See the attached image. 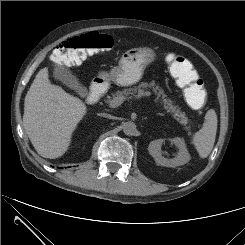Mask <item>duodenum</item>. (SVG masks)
<instances>
[{"label": "duodenum", "instance_id": "obj_1", "mask_svg": "<svg viewBox=\"0 0 245 245\" xmlns=\"http://www.w3.org/2000/svg\"><path fill=\"white\" fill-rule=\"evenodd\" d=\"M103 94V85L99 82L92 84L90 92L86 98L87 103L94 104L96 103Z\"/></svg>", "mask_w": 245, "mask_h": 245}]
</instances>
